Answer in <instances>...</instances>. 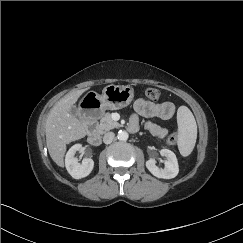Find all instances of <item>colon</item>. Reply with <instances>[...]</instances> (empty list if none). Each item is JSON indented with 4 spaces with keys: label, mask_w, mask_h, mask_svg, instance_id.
<instances>
[{
    "label": "colon",
    "mask_w": 243,
    "mask_h": 243,
    "mask_svg": "<svg viewBox=\"0 0 243 243\" xmlns=\"http://www.w3.org/2000/svg\"><path fill=\"white\" fill-rule=\"evenodd\" d=\"M144 93L145 95L150 99V100H153V101H157L159 100L160 96H161V93L160 91L157 89V88H154V87H147L145 90H144ZM177 142V138L175 135H169L166 139V143L168 145H174L176 144Z\"/></svg>",
    "instance_id": "5ec220e1"
}]
</instances>
